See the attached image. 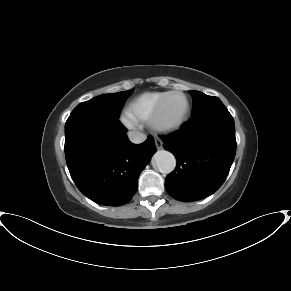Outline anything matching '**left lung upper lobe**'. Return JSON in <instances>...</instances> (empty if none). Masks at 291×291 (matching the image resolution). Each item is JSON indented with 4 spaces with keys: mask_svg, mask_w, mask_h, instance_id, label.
Instances as JSON below:
<instances>
[{
    "mask_svg": "<svg viewBox=\"0 0 291 291\" xmlns=\"http://www.w3.org/2000/svg\"><path fill=\"white\" fill-rule=\"evenodd\" d=\"M193 99L192 117L203 114L212 108L223 105L221 100L214 96H208L199 91H189Z\"/></svg>",
    "mask_w": 291,
    "mask_h": 291,
    "instance_id": "left-lung-upper-lobe-1",
    "label": "left lung upper lobe"
}]
</instances>
